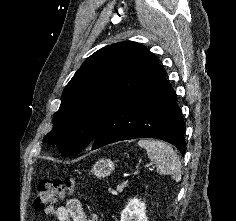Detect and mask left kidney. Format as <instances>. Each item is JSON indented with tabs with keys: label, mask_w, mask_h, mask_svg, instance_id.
Masks as SVG:
<instances>
[{
	"label": "left kidney",
	"mask_w": 236,
	"mask_h": 221,
	"mask_svg": "<svg viewBox=\"0 0 236 221\" xmlns=\"http://www.w3.org/2000/svg\"><path fill=\"white\" fill-rule=\"evenodd\" d=\"M120 221H148L145 203L138 198L130 200L121 212Z\"/></svg>",
	"instance_id": "obj_1"
}]
</instances>
